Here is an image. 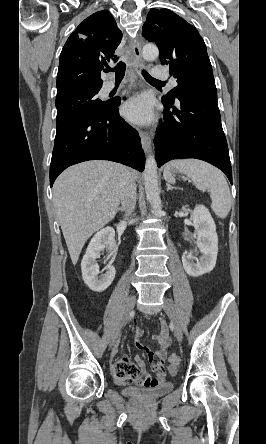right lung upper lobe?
<instances>
[{
  "mask_svg": "<svg viewBox=\"0 0 266 444\" xmlns=\"http://www.w3.org/2000/svg\"><path fill=\"white\" fill-rule=\"evenodd\" d=\"M122 32L107 10L82 21L67 39L60 54L57 97L78 91L100 90L101 70L118 57L114 52Z\"/></svg>",
  "mask_w": 266,
  "mask_h": 444,
  "instance_id": "right-lung-upper-lobe-1",
  "label": "right lung upper lobe"
}]
</instances>
